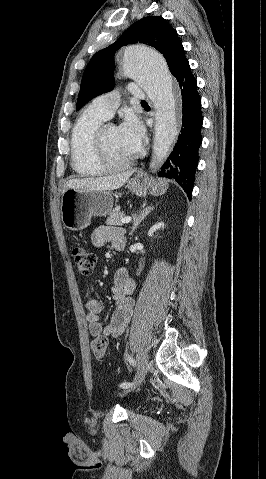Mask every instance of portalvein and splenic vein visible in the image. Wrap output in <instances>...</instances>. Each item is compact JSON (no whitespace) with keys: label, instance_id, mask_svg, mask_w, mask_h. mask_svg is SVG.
<instances>
[{"label":"portal vein and splenic vein","instance_id":"portal-vein-and-splenic-vein-1","mask_svg":"<svg viewBox=\"0 0 266 479\" xmlns=\"http://www.w3.org/2000/svg\"><path fill=\"white\" fill-rule=\"evenodd\" d=\"M131 219H132L131 217H124V218L121 219V223L122 224L129 223L131 221Z\"/></svg>","mask_w":266,"mask_h":479}]
</instances>
